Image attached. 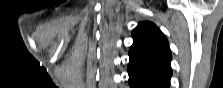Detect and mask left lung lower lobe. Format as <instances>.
I'll return each instance as SVG.
<instances>
[{
  "label": "left lung lower lobe",
  "mask_w": 223,
  "mask_h": 88,
  "mask_svg": "<svg viewBox=\"0 0 223 88\" xmlns=\"http://www.w3.org/2000/svg\"><path fill=\"white\" fill-rule=\"evenodd\" d=\"M129 85L131 88H169L171 75L147 65L129 62Z\"/></svg>",
  "instance_id": "1"
}]
</instances>
